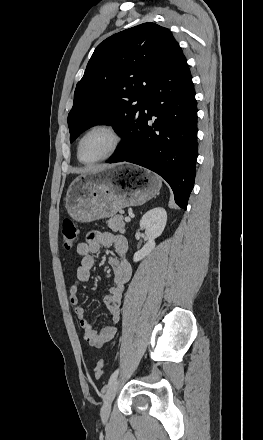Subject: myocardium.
<instances>
[{"label":"myocardium","instance_id":"f54148a6","mask_svg":"<svg viewBox=\"0 0 263 440\" xmlns=\"http://www.w3.org/2000/svg\"><path fill=\"white\" fill-rule=\"evenodd\" d=\"M98 129L106 130L111 134V136L113 138L112 147L104 156H102L98 159H95V160L85 161L81 158V155H80L82 141L90 132H92L94 130H98ZM122 142H123V135L114 124H112L110 122L94 123V124L90 125L88 128H86L84 130V132L78 138L77 145H76L77 158L81 163L87 164V165H92V164L103 162V161L109 159L110 157H112L119 150Z\"/></svg>","mask_w":263,"mask_h":440}]
</instances>
